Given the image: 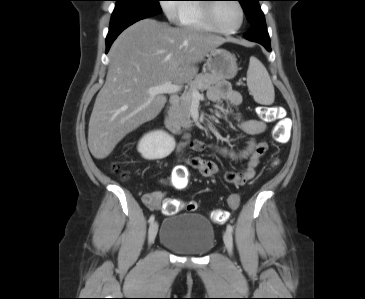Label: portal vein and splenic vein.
Returning a JSON list of instances; mask_svg holds the SVG:
<instances>
[{
  "mask_svg": "<svg viewBox=\"0 0 365 299\" xmlns=\"http://www.w3.org/2000/svg\"><path fill=\"white\" fill-rule=\"evenodd\" d=\"M181 90V86L178 84H173L172 82H166L163 85L151 87L148 89V93L152 96L159 95V94H173L177 93ZM193 98H198L200 96L199 91L194 90L192 92Z\"/></svg>",
  "mask_w": 365,
  "mask_h": 299,
  "instance_id": "obj_1",
  "label": "portal vein and splenic vein"
}]
</instances>
